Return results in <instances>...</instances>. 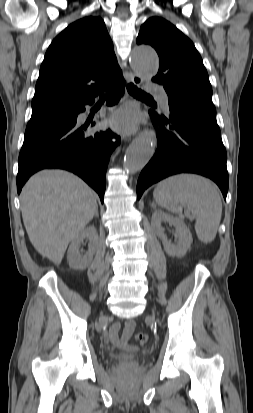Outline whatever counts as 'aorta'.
Instances as JSON below:
<instances>
[{
    "label": "aorta",
    "instance_id": "obj_1",
    "mask_svg": "<svg viewBox=\"0 0 253 413\" xmlns=\"http://www.w3.org/2000/svg\"><path fill=\"white\" fill-rule=\"evenodd\" d=\"M131 64L137 74L151 78L158 71V56L148 45H138L132 50ZM156 139L153 133H148L136 139L127 149L124 167L130 172L141 170L155 152Z\"/></svg>",
    "mask_w": 253,
    "mask_h": 413
}]
</instances>
